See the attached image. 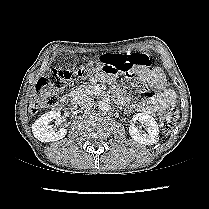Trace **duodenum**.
Wrapping results in <instances>:
<instances>
[{"label": "duodenum", "instance_id": "410a0bca", "mask_svg": "<svg viewBox=\"0 0 209 209\" xmlns=\"http://www.w3.org/2000/svg\"><path fill=\"white\" fill-rule=\"evenodd\" d=\"M76 100H77L76 95L70 94V95L65 96L62 99V104H63V106L73 108L76 104Z\"/></svg>", "mask_w": 209, "mask_h": 209}]
</instances>
